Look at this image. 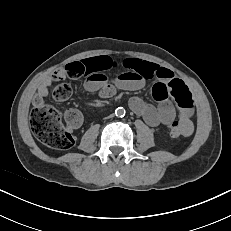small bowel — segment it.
<instances>
[{
	"instance_id": "small-bowel-1",
	"label": "small bowel",
	"mask_w": 231,
	"mask_h": 231,
	"mask_svg": "<svg viewBox=\"0 0 231 231\" xmlns=\"http://www.w3.org/2000/svg\"><path fill=\"white\" fill-rule=\"evenodd\" d=\"M76 63L82 66V76L86 78L85 89L90 92L97 91L103 98L112 97L117 90H139L148 80L155 79L152 96L157 104L152 105L139 97H133L129 101L131 110L141 116L149 126L170 125L177 116L176 108L171 102L173 100L178 109V123L183 135L190 136L193 133L192 94L186 84L176 78L169 69L141 59L117 61L108 56L92 57ZM118 68L122 70L115 77H107V71ZM66 76L64 68L45 78L36 91L33 103H44L49 87Z\"/></svg>"
}]
</instances>
